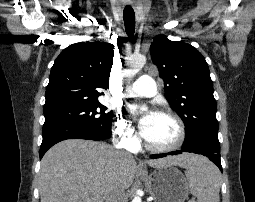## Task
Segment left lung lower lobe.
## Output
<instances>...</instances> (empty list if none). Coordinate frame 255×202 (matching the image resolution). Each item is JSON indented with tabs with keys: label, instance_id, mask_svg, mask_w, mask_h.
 <instances>
[{
	"label": "left lung lower lobe",
	"instance_id": "left-lung-lower-lobe-1",
	"mask_svg": "<svg viewBox=\"0 0 255 202\" xmlns=\"http://www.w3.org/2000/svg\"><path fill=\"white\" fill-rule=\"evenodd\" d=\"M182 152H192L196 154H201L206 157H208L213 163H215L219 169L222 171V166H221V161H220V145H204V146H199V147H182L181 150L178 151H172L166 154H160V155H152L151 158H160L164 157L167 155H176V154H181Z\"/></svg>",
	"mask_w": 255,
	"mask_h": 202
}]
</instances>
